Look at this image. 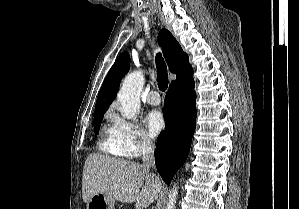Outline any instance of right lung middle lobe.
Listing matches in <instances>:
<instances>
[{"label":"right lung middle lobe","mask_w":299,"mask_h":209,"mask_svg":"<svg viewBox=\"0 0 299 209\" xmlns=\"http://www.w3.org/2000/svg\"><path fill=\"white\" fill-rule=\"evenodd\" d=\"M103 113H95L94 114V132L97 133L98 130L100 129V125L102 122V118H103Z\"/></svg>","instance_id":"dd1d6c3e"}]
</instances>
